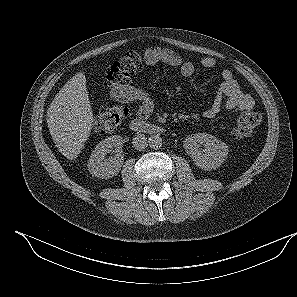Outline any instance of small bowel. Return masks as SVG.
Listing matches in <instances>:
<instances>
[{"instance_id": "1", "label": "small bowel", "mask_w": 297, "mask_h": 297, "mask_svg": "<svg viewBox=\"0 0 297 297\" xmlns=\"http://www.w3.org/2000/svg\"><path fill=\"white\" fill-rule=\"evenodd\" d=\"M145 62L154 66L164 64L179 70L185 77L191 76L195 71V65L190 60L184 59L178 53L162 48L150 47L144 52ZM201 65L205 68L216 66V60L212 57H204ZM222 83L214 98L213 103L203 112L204 117L213 118L223 107L229 110L248 111L254 106V99L244 93L233 77L230 70L221 73ZM113 100L119 103H140L138 115L141 118L149 117L154 109V104L149 93L141 87L126 83L111 90Z\"/></svg>"}]
</instances>
